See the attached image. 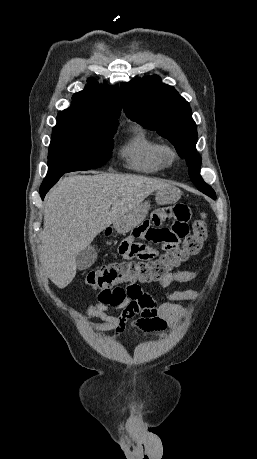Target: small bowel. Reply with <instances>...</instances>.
I'll return each instance as SVG.
<instances>
[{"instance_id": "c3829d8e", "label": "small bowel", "mask_w": 257, "mask_h": 459, "mask_svg": "<svg viewBox=\"0 0 257 459\" xmlns=\"http://www.w3.org/2000/svg\"><path fill=\"white\" fill-rule=\"evenodd\" d=\"M190 220L191 205H185L184 200H174L173 205H153L147 223H136L125 239H118V263L146 264L147 261H157L159 251H181L187 236H195L197 232L195 227H189ZM197 276V270L192 269L172 271L160 277L161 289L169 300L162 304H158L136 282L125 288H104L98 295V302L86 309L87 316L100 321L88 326L95 331H113L115 337L125 331L128 323L145 332L175 327L187 313V306L180 302L197 298L199 292L195 289L173 290L171 285L191 282ZM112 310L119 311V314H110Z\"/></svg>"}]
</instances>
